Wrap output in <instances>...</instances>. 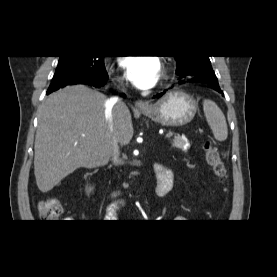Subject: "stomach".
I'll use <instances>...</instances> for the list:
<instances>
[{
  "label": "stomach",
  "mask_w": 277,
  "mask_h": 277,
  "mask_svg": "<svg viewBox=\"0 0 277 277\" xmlns=\"http://www.w3.org/2000/svg\"><path fill=\"white\" fill-rule=\"evenodd\" d=\"M196 110L193 97L182 91H170L141 112L162 126L177 127L191 122Z\"/></svg>",
  "instance_id": "1"
}]
</instances>
